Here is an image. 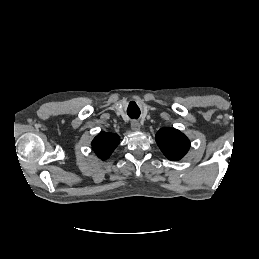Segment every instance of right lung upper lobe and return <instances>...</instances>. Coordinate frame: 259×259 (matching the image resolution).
<instances>
[{"label":"right lung upper lobe","instance_id":"cb5924a9","mask_svg":"<svg viewBox=\"0 0 259 259\" xmlns=\"http://www.w3.org/2000/svg\"><path fill=\"white\" fill-rule=\"evenodd\" d=\"M119 140L117 134L101 132L92 141V148L99 158L106 160L118 146Z\"/></svg>","mask_w":259,"mask_h":259}]
</instances>
